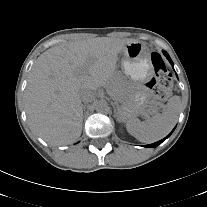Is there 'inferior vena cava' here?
Instances as JSON below:
<instances>
[{
	"label": "inferior vena cava",
	"instance_id": "inferior-vena-cava-1",
	"mask_svg": "<svg viewBox=\"0 0 207 207\" xmlns=\"http://www.w3.org/2000/svg\"><path fill=\"white\" fill-rule=\"evenodd\" d=\"M95 99V93L91 90H82L80 92V100L84 103L92 102Z\"/></svg>",
	"mask_w": 207,
	"mask_h": 207
}]
</instances>
